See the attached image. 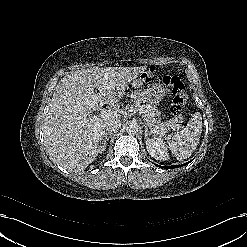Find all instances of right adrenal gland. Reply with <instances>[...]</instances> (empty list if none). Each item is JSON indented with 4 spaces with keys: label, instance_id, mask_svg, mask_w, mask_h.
<instances>
[{
    "label": "right adrenal gland",
    "instance_id": "1",
    "mask_svg": "<svg viewBox=\"0 0 247 247\" xmlns=\"http://www.w3.org/2000/svg\"><path fill=\"white\" fill-rule=\"evenodd\" d=\"M112 134L105 133L102 136L103 142L106 143L109 140V137H111Z\"/></svg>",
    "mask_w": 247,
    "mask_h": 247
}]
</instances>
